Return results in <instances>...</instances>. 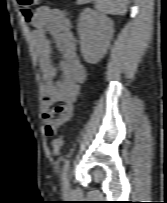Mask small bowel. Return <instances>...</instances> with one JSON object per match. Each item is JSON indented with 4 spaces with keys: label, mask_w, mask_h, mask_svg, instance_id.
<instances>
[{
    "label": "small bowel",
    "mask_w": 167,
    "mask_h": 203,
    "mask_svg": "<svg viewBox=\"0 0 167 203\" xmlns=\"http://www.w3.org/2000/svg\"><path fill=\"white\" fill-rule=\"evenodd\" d=\"M32 24V41L43 77L44 129L52 136L72 118L86 70L77 53L71 20L64 12L41 7L34 12ZM48 34L62 56L58 62Z\"/></svg>",
    "instance_id": "obj_1"
}]
</instances>
